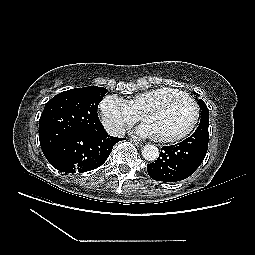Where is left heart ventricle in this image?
Listing matches in <instances>:
<instances>
[{"label": "left heart ventricle", "instance_id": "1", "mask_svg": "<svg viewBox=\"0 0 255 255\" xmlns=\"http://www.w3.org/2000/svg\"><path fill=\"white\" fill-rule=\"evenodd\" d=\"M193 116V106L185 99L175 97L147 112L144 122L153 128L156 137L171 136L185 130Z\"/></svg>", "mask_w": 255, "mask_h": 255}]
</instances>
